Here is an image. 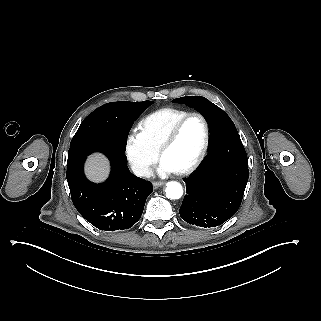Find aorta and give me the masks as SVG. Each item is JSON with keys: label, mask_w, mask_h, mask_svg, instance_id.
<instances>
[{"label": "aorta", "mask_w": 321, "mask_h": 321, "mask_svg": "<svg viewBox=\"0 0 321 321\" xmlns=\"http://www.w3.org/2000/svg\"><path fill=\"white\" fill-rule=\"evenodd\" d=\"M165 193L167 198L179 199L183 195V188L180 183L171 181L167 183Z\"/></svg>", "instance_id": "1"}]
</instances>
